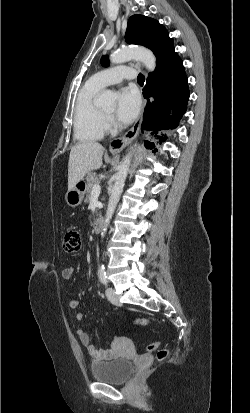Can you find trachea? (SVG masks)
I'll return each mask as SVG.
<instances>
[{
	"mask_svg": "<svg viewBox=\"0 0 250 413\" xmlns=\"http://www.w3.org/2000/svg\"><path fill=\"white\" fill-rule=\"evenodd\" d=\"M137 81H138V83H144V81H145L144 75L140 73L137 77Z\"/></svg>",
	"mask_w": 250,
	"mask_h": 413,
	"instance_id": "obj_1",
	"label": "trachea"
}]
</instances>
